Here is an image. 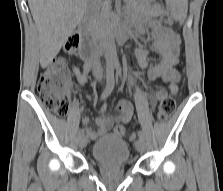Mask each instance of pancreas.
Here are the masks:
<instances>
[{"mask_svg": "<svg viewBox=\"0 0 223 191\" xmlns=\"http://www.w3.org/2000/svg\"><path fill=\"white\" fill-rule=\"evenodd\" d=\"M109 9H110L109 3L100 4L93 9L92 21L95 26L102 25Z\"/></svg>", "mask_w": 223, "mask_h": 191, "instance_id": "cf45deb5", "label": "pancreas"}]
</instances>
